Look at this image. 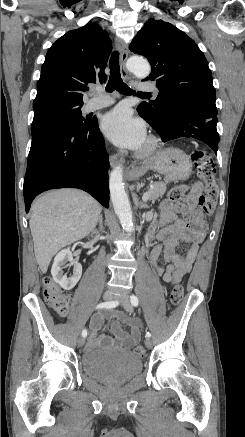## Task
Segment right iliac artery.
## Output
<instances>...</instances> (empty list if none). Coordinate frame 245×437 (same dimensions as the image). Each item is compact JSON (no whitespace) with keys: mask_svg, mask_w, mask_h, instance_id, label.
<instances>
[{"mask_svg":"<svg viewBox=\"0 0 245 437\" xmlns=\"http://www.w3.org/2000/svg\"><path fill=\"white\" fill-rule=\"evenodd\" d=\"M118 305V301H109V302H104V303H100L96 306V309H101V308H114ZM82 336L86 337L87 336V330L84 329L82 331Z\"/></svg>","mask_w":245,"mask_h":437,"instance_id":"right-iliac-artery-1","label":"right iliac artery"}]
</instances>
